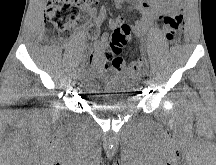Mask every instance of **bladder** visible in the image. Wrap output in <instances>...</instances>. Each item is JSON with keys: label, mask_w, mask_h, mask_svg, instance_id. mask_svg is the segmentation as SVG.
<instances>
[{"label": "bladder", "mask_w": 216, "mask_h": 165, "mask_svg": "<svg viewBox=\"0 0 216 165\" xmlns=\"http://www.w3.org/2000/svg\"><path fill=\"white\" fill-rule=\"evenodd\" d=\"M133 84L127 76H92L84 78L85 94L93 111H122L135 106L136 96L131 92Z\"/></svg>", "instance_id": "bladder-1"}]
</instances>
